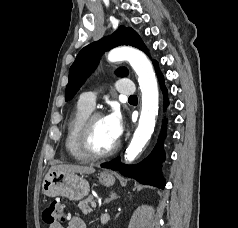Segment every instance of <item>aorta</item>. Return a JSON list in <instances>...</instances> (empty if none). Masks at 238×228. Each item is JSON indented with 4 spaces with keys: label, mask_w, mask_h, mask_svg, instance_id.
<instances>
[{
    "label": "aorta",
    "mask_w": 238,
    "mask_h": 228,
    "mask_svg": "<svg viewBox=\"0 0 238 228\" xmlns=\"http://www.w3.org/2000/svg\"><path fill=\"white\" fill-rule=\"evenodd\" d=\"M110 62L126 60L138 75V82L142 93V109L138 127L125 152V160L131 162L142 151L151 138L158 114V85L153 67L147 56L132 47H118L108 54Z\"/></svg>",
    "instance_id": "762f6f07"
}]
</instances>
